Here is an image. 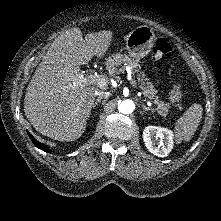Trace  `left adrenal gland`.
<instances>
[{"mask_svg":"<svg viewBox=\"0 0 221 221\" xmlns=\"http://www.w3.org/2000/svg\"><path fill=\"white\" fill-rule=\"evenodd\" d=\"M142 107L145 111H153L152 108H149V107L145 106L144 104H142Z\"/></svg>","mask_w":221,"mask_h":221,"instance_id":"1","label":"left adrenal gland"}]
</instances>
